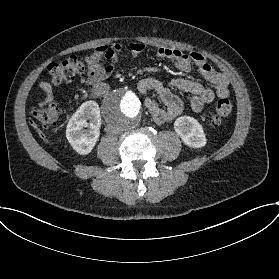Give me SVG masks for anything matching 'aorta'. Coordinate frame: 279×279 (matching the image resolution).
<instances>
[{
    "mask_svg": "<svg viewBox=\"0 0 279 279\" xmlns=\"http://www.w3.org/2000/svg\"><path fill=\"white\" fill-rule=\"evenodd\" d=\"M141 112L142 104L138 96L127 87L114 89L103 101V115L106 122L122 130L136 126Z\"/></svg>",
    "mask_w": 279,
    "mask_h": 279,
    "instance_id": "aorta-1",
    "label": "aorta"
}]
</instances>
